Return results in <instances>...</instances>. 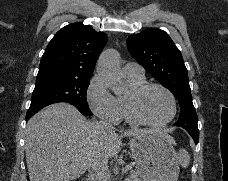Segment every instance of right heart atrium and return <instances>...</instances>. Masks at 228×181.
Segmentation results:
<instances>
[{"mask_svg":"<svg viewBox=\"0 0 228 181\" xmlns=\"http://www.w3.org/2000/svg\"><path fill=\"white\" fill-rule=\"evenodd\" d=\"M87 98L90 108L98 117L112 124L120 122L122 116L117 98L107 89L103 75L91 80Z\"/></svg>","mask_w":228,"mask_h":181,"instance_id":"1","label":"right heart atrium"}]
</instances>
